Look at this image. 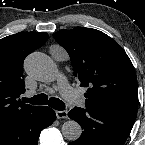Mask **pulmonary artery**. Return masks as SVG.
Here are the masks:
<instances>
[{"label": "pulmonary artery", "mask_w": 145, "mask_h": 145, "mask_svg": "<svg viewBox=\"0 0 145 145\" xmlns=\"http://www.w3.org/2000/svg\"><path fill=\"white\" fill-rule=\"evenodd\" d=\"M58 88L62 96L65 97L69 103L80 107L85 106V99L68 83L65 77H62Z\"/></svg>", "instance_id": "obj_1"}]
</instances>
